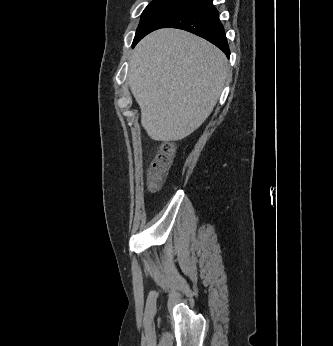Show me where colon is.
I'll use <instances>...</instances> for the list:
<instances>
[{
  "instance_id": "obj_1",
  "label": "colon",
  "mask_w": 333,
  "mask_h": 346,
  "mask_svg": "<svg viewBox=\"0 0 333 346\" xmlns=\"http://www.w3.org/2000/svg\"><path fill=\"white\" fill-rule=\"evenodd\" d=\"M174 154V145L165 143L161 146L148 174V187L152 192L159 191L163 186Z\"/></svg>"
}]
</instances>
